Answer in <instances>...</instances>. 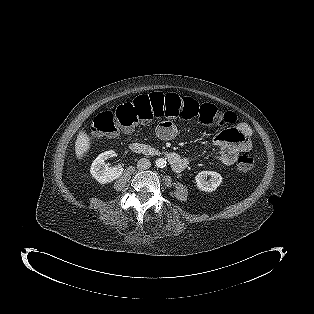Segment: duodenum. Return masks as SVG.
I'll return each mask as SVG.
<instances>
[{"label":"duodenum","instance_id":"duodenum-1","mask_svg":"<svg viewBox=\"0 0 314 314\" xmlns=\"http://www.w3.org/2000/svg\"><path fill=\"white\" fill-rule=\"evenodd\" d=\"M130 150L133 153L144 155H155L160 153L158 150L142 142H133L130 145ZM164 156L167 158L170 167L176 172L183 171L188 165V161L175 152H165Z\"/></svg>","mask_w":314,"mask_h":314}]
</instances>
